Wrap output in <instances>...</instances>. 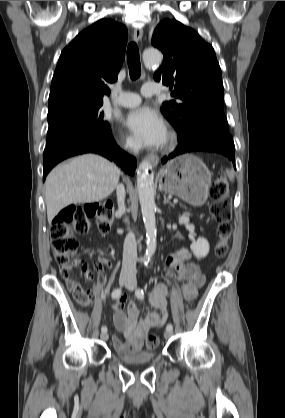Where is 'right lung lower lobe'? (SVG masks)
Listing matches in <instances>:
<instances>
[{
  "label": "right lung lower lobe",
  "mask_w": 285,
  "mask_h": 418,
  "mask_svg": "<svg viewBox=\"0 0 285 418\" xmlns=\"http://www.w3.org/2000/svg\"><path fill=\"white\" fill-rule=\"evenodd\" d=\"M83 153H96L115 161L128 174L134 175L136 159L115 143L111 131L106 133L77 132L47 145L43 154V180L62 160Z\"/></svg>",
  "instance_id": "1"
}]
</instances>
